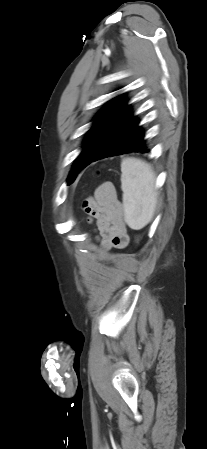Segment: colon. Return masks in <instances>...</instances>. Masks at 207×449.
Returning a JSON list of instances; mask_svg holds the SVG:
<instances>
[{
  "mask_svg": "<svg viewBox=\"0 0 207 449\" xmlns=\"http://www.w3.org/2000/svg\"><path fill=\"white\" fill-rule=\"evenodd\" d=\"M140 235L136 236V241L139 242L140 241Z\"/></svg>",
  "mask_w": 207,
  "mask_h": 449,
  "instance_id": "5ec220e1",
  "label": "colon"
}]
</instances>
